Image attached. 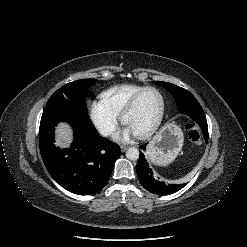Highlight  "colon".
Wrapping results in <instances>:
<instances>
[{"mask_svg": "<svg viewBox=\"0 0 247 247\" xmlns=\"http://www.w3.org/2000/svg\"><path fill=\"white\" fill-rule=\"evenodd\" d=\"M186 128L188 129L190 140L196 145H201L203 142V133L201 129L191 122L187 123Z\"/></svg>", "mask_w": 247, "mask_h": 247, "instance_id": "colon-1", "label": "colon"}]
</instances>
